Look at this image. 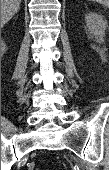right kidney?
Wrapping results in <instances>:
<instances>
[{"label":"right kidney","mask_w":109,"mask_h":170,"mask_svg":"<svg viewBox=\"0 0 109 170\" xmlns=\"http://www.w3.org/2000/svg\"><path fill=\"white\" fill-rule=\"evenodd\" d=\"M6 50V45L4 43H2V53H4Z\"/></svg>","instance_id":"1"}]
</instances>
